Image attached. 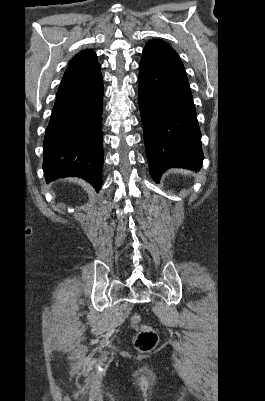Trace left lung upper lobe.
I'll return each mask as SVG.
<instances>
[{"label":"left lung upper lobe","instance_id":"obj_1","mask_svg":"<svg viewBox=\"0 0 265 401\" xmlns=\"http://www.w3.org/2000/svg\"><path fill=\"white\" fill-rule=\"evenodd\" d=\"M142 58L165 67L184 69L175 50L169 44L159 39L151 40L146 44Z\"/></svg>","mask_w":265,"mask_h":401}]
</instances>
